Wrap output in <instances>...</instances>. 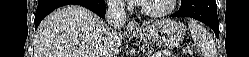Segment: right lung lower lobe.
<instances>
[{
  "instance_id": "98d812e1",
  "label": "right lung lower lobe",
  "mask_w": 249,
  "mask_h": 57,
  "mask_svg": "<svg viewBox=\"0 0 249 57\" xmlns=\"http://www.w3.org/2000/svg\"><path fill=\"white\" fill-rule=\"evenodd\" d=\"M77 4L88 8L102 18H105L106 5L104 0H39L35 14V28L37 29L43 18L58 7Z\"/></svg>"
}]
</instances>
